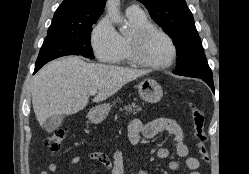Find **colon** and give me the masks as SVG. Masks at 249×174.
Listing matches in <instances>:
<instances>
[{"mask_svg": "<svg viewBox=\"0 0 249 174\" xmlns=\"http://www.w3.org/2000/svg\"><path fill=\"white\" fill-rule=\"evenodd\" d=\"M191 120H192V134L196 142V151L205 162H209L208 150L205 146L206 135L204 132V118L203 114L197 104H190ZM67 136V129L62 128L55 130L45 139V146L52 153L58 152Z\"/></svg>", "mask_w": 249, "mask_h": 174, "instance_id": "colon-1", "label": "colon"}]
</instances>
